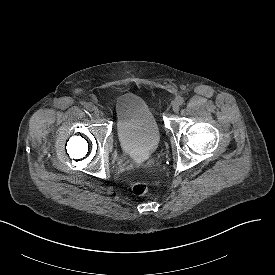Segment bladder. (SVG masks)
Returning <instances> with one entry per match:
<instances>
[{"mask_svg": "<svg viewBox=\"0 0 275 275\" xmlns=\"http://www.w3.org/2000/svg\"><path fill=\"white\" fill-rule=\"evenodd\" d=\"M116 133L121 150L138 161L148 159L160 143L158 125L145 100L134 93L115 102Z\"/></svg>", "mask_w": 275, "mask_h": 275, "instance_id": "obj_1", "label": "bladder"}]
</instances>
